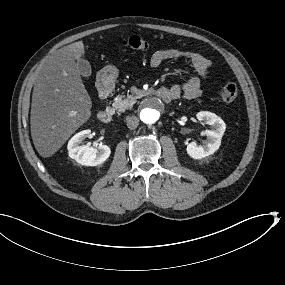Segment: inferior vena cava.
<instances>
[{
  "instance_id": "obj_1",
  "label": "inferior vena cava",
  "mask_w": 285,
  "mask_h": 285,
  "mask_svg": "<svg viewBox=\"0 0 285 285\" xmlns=\"http://www.w3.org/2000/svg\"><path fill=\"white\" fill-rule=\"evenodd\" d=\"M127 127L130 130L136 129L139 124V119L136 116H127L126 117Z\"/></svg>"
}]
</instances>
